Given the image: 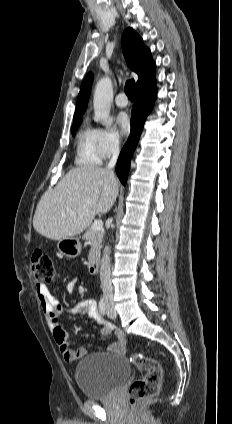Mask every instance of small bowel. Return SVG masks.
<instances>
[{
  "label": "small bowel",
  "instance_id": "obj_1",
  "mask_svg": "<svg viewBox=\"0 0 232 424\" xmlns=\"http://www.w3.org/2000/svg\"><path fill=\"white\" fill-rule=\"evenodd\" d=\"M79 280H71L67 284V291L72 293ZM35 290L41 310L47 319L49 328L54 341L59 346L60 353L67 362H76L87 354L84 347L73 348L68 343V335L64 324L61 321L63 316H88L98 324L102 325L100 333L102 336H108L114 332L116 340L108 346V351L115 354H123L126 351V336L120 329L104 320L98 311L96 302L92 298H86L78 301L73 306L64 308L57 303V300L49 287L42 282H35Z\"/></svg>",
  "mask_w": 232,
  "mask_h": 424
}]
</instances>
